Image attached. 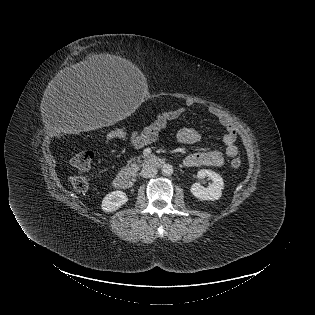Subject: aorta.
I'll return each mask as SVG.
<instances>
[{
	"instance_id": "obj_1",
	"label": "aorta",
	"mask_w": 315,
	"mask_h": 315,
	"mask_svg": "<svg viewBox=\"0 0 315 315\" xmlns=\"http://www.w3.org/2000/svg\"><path fill=\"white\" fill-rule=\"evenodd\" d=\"M162 174L164 176H170L173 174V167L170 164H165L162 167Z\"/></svg>"
}]
</instances>
